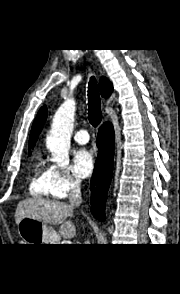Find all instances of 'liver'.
Here are the masks:
<instances>
[{
    "mask_svg": "<svg viewBox=\"0 0 180 294\" xmlns=\"http://www.w3.org/2000/svg\"><path fill=\"white\" fill-rule=\"evenodd\" d=\"M72 214L73 207L65 202L49 201L40 198L25 199L17 205L15 221L18 225L21 219L28 217L45 224H60L61 235L66 238H72L76 234V228L72 221L66 220Z\"/></svg>",
    "mask_w": 180,
    "mask_h": 294,
    "instance_id": "1",
    "label": "liver"
}]
</instances>
